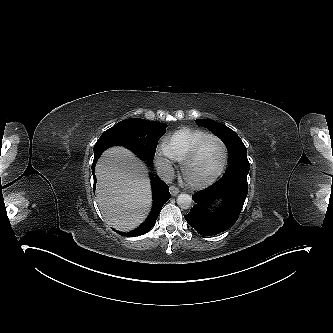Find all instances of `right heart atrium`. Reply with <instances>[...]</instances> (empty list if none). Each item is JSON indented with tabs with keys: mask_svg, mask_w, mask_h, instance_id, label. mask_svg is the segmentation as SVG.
I'll return each instance as SVG.
<instances>
[{
	"mask_svg": "<svg viewBox=\"0 0 333 333\" xmlns=\"http://www.w3.org/2000/svg\"><path fill=\"white\" fill-rule=\"evenodd\" d=\"M155 163L162 171H168L172 166V158L169 155L165 145L159 146L155 155Z\"/></svg>",
	"mask_w": 333,
	"mask_h": 333,
	"instance_id": "d8ad5b80",
	"label": "right heart atrium"
}]
</instances>
